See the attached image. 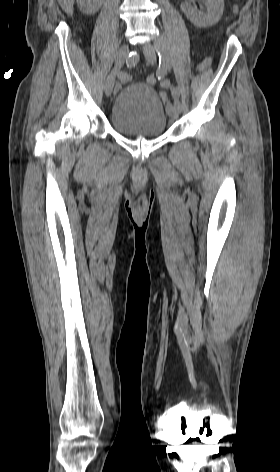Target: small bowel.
Returning a JSON list of instances; mask_svg holds the SVG:
<instances>
[{
    "label": "small bowel",
    "mask_w": 280,
    "mask_h": 472,
    "mask_svg": "<svg viewBox=\"0 0 280 472\" xmlns=\"http://www.w3.org/2000/svg\"><path fill=\"white\" fill-rule=\"evenodd\" d=\"M209 64H210V60H205L204 62H202V63L199 65L198 69H199L200 71H201V70H204L205 68H207V67L209 66ZM168 86H169V81H168V80H163V81H161V87H162V88H167ZM160 95H161V97H162L163 99H166V98H167V94H166V92H164V91H162V92L160 93Z\"/></svg>",
    "instance_id": "obj_1"
}]
</instances>
